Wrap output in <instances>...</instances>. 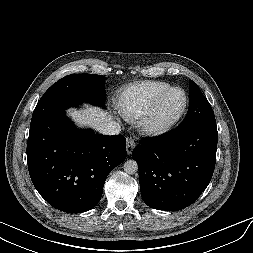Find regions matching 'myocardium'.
I'll return each mask as SVG.
<instances>
[{
    "label": "myocardium",
    "instance_id": "obj_1",
    "mask_svg": "<svg viewBox=\"0 0 253 253\" xmlns=\"http://www.w3.org/2000/svg\"><path fill=\"white\" fill-rule=\"evenodd\" d=\"M173 92H180L183 95L184 103H183V106H182L181 110L179 111V113L174 118H172L171 120H169L167 122H164V123L155 122V120H154L155 113H156L160 103L168 95H170ZM188 104H189L188 96L182 88L171 87V88L165 90L164 92L159 94L154 99V101L152 102L150 107L147 109V111L141 117L140 122H139V127H140L141 131L149 137H158V136H162V135L168 133L184 117V115H185V113L188 109Z\"/></svg>",
    "mask_w": 253,
    "mask_h": 253
}]
</instances>
